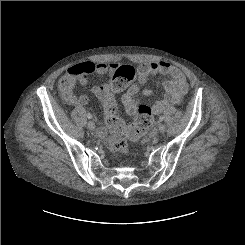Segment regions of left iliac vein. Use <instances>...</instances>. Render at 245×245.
<instances>
[{"label":"left iliac vein","instance_id":"1","mask_svg":"<svg viewBox=\"0 0 245 245\" xmlns=\"http://www.w3.org/2000/svg\"><path fill=\"white\" fill-rule=\"evenodd\" d=\"M166 130V126L164 124L159 125V131L164 132Z\"/></svg>","mask_w":245,"mask_h":245}]
</instances>
